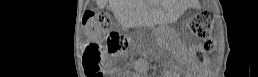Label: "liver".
Returning a JSON list of instances; mask_svg holds the SVG:
<instances>
[{
  "mask_svg": "<svg viewBox=\"0 0 258 77\" xmlns=\"http://www.w3.org/2000/svg\"><path fill=\"white\" fill-rule=\"evenodd\" d=\"M106 2L107 0H96L100 8L104 7ZM109 5L118 20L126 27L137 23L152 24L163 16L155 2L109 0Z\"/></svg>",
  "mask_w": 258,
  "mask_h": 77,
  "instance_id": "1",
  "label": "liver"
}]
</instances>
